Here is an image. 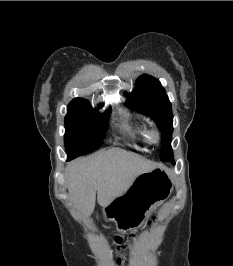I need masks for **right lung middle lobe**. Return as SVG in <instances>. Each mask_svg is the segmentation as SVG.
<instances>
[{"instance_id": "obj_1", "label": "right lung middle lobe", "mask_w": 233, "mask_h": 266, "mask_svg": "<svg viewBox=\"0 0 233 266\" xmlns=\"http://www.w3.org/2000/svg\"><path fill=\"white\" fill-rule=\"evenodd\" d=\"M108 117V111L100 114L86 100L68 105L64 135L68 160L90 153L102 145Z\"/></svg>"}]
</instances>
